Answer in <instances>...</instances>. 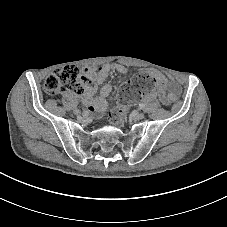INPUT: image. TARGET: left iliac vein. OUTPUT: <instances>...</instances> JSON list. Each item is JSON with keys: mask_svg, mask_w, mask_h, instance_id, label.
Here are the masks:
<instances>
[{"mask_svg": "<svg viewBox=\"0 0 227 227\" xmlns=\"http://www.w3.org/2000/svg\"><path fill=\"white\" fill-rule=\"evenodd\" d=\"M131 117L134 119V120H141L144 118V113L141 112V111H136L134 112Z\"/></svg>", "mask_w": 227, "mask_h": 227, "instance_id": "left-iliac-vein-1", "label": "left iliac vein"}]
</instances>
